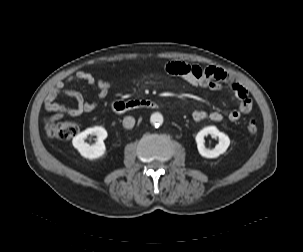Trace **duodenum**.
<instances>
[{
	"label": "duodenum",
	"instance_id": "410a0bca",
	"mask_svg": "<svg viewBox=\"0 0 303 252\" xmlns=\"http://www.w3.org/2000/svg\"><path fill=\"white\" fill-rule=\"evenodd\" d=\"M158 104L149 99H133L129 101H118L113 105V112L116 114H124L134 109H155Z\"/></svg>",
	"mask_w": 303,
	"mask_h": 252
}]
</instances>
